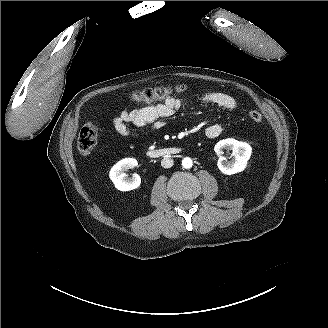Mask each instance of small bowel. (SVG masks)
I'll return each instance as SVG.
<instances>
[{
  "mask_svg": "<svg viewBox=\"0 0 328 328\" xmlns=\"http://www.w3.org/2000/svg\"><path fill=\"white\" fill-rule=\"evenodd\" d=\"M202 104H211L229 111H235L239 107L237 99L222 92H208L199 98ZM186 104L185 101L170 96L163 103L123 110L113 117L112 123L116 133L122 137H136L138 130L146 129L156 131L164 126V120ZM220 124H212L206 128L205 134L214 139L222 133Z\"/></svg>",
  "mask_w": 328,
  "mask_h": 328,
  "instance_id": "1",
  "label": "small bowel"
}]
</instances>
